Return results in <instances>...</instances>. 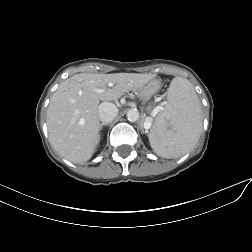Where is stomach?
<instances>
[{"label":"stomach","instance_id":"stomach-1","mask_svg":"<svg viewBox=\"0 0 252 252\" xmlns=\"http://www.w3.org/2000/svg\"><path fill=\"white\" fill-rule=\"evenodd\" d=\"M161 89V82L159 80H150L139 90V95L144 101H148L151 96L156 94Z\"/></svg>","mask_w":252,"mask_h":252}]
</instances>
